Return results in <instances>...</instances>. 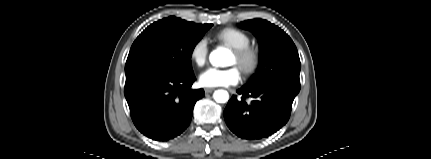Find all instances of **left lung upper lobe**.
Here are the masks:
<instances>
[{
	"instance_id": "1",
	"label": "left lung upper lobe",
	"mask_w": 431,
	"mask_h": 159,
	"mask_svg": "<svg viewBox=\"0 0 431 159\" xmlns=\"http://www.w3.org/2000/svg\"><path fill=\"white\" fill-rule=\"evenodd\" d=\"M241 27L250 30L260 44V59L257 72L246 87H257L274 79H289L300 83V59L291 38L278 26L262 19L241 22Z\"/></svg>"
}]
</instances>
